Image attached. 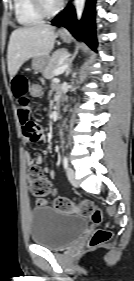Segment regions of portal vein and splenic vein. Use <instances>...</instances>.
<instances>
[{"mask_svg":"<svg viewBox=\"0 0 134 281\" xmlns=\"http://www.w3.org/2000/svg\"><path fill=\"white\" fill-rule=\"evenodd\" d=\"M68 66H69L68 63L63 64L62 66H60V67H58L57 69H55V70L53 71V74H54L55 76H58V75L63 74V73L65 72V70L68 68Z\"/></svg>","mask_w":134,"mask_h":281,"instance_id":"1","label":"portal vein and splenic vein"}]
</instances>
